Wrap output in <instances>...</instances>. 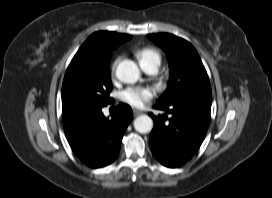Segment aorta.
<instances>
[{"label":"aorta","instance_id":"1","mask_svg":"<svg viewBox=\"0 0 272 198\" xmlns=\"http://www.w3.org/2000/svg\"><path fill=\"white\" fill-rule=\"evenodd\" d=\"M116 76L124 83H135L140 78V70L135 62L123 60L117 66ZM134 128L139 133H148L153 128V121L148 115H141L134 120Z\"/></svg>","mask_w":272,"mask_h":198}]
</instances>
